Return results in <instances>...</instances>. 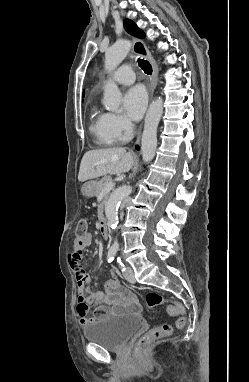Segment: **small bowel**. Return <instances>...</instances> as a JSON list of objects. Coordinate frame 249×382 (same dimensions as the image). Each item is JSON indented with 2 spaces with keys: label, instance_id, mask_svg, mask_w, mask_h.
Listing matches in <instances>:
<instances>
[{
  "label": "small bowel",
  "instance_id": "1",
  "mask_svg": "<svg viewBox=\"0 0 249 382\" xmlns=\"http://www.w3.org/2000/svg\"><path fill=\"white\" fill-rule=\"evenodd\" d=\"M92 236L87 234L84 240H75L73 252H69L67 257L70 259L71 268L74 272L79 295L76 299V312L79 317L80 325L86 327L99 319L106 318L113 314H125L137 312L140 308L134 295L125 289L116 276H112L104 285L105 292L95 291L90 286V276L84 270L82 261V250L91 244ZM85 291L87 296L82 292ZM95 304L93 316H88L89 306Z\"/></svg>",
  "mask_w": 249,
  "mask_h": 382
}]
</instances>
